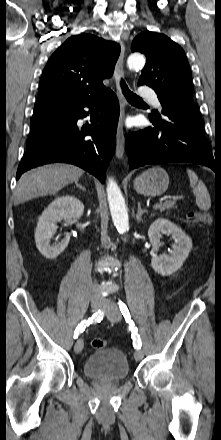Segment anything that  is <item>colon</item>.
<instances>
[{"label":"colon","mask_w":221,"mask_h":440,"mask_svg":"<svg viewBox=\"0 0 221 440\" xmlns=\"http://www.w3.org/2000/svg\"><path fill=\"white\" fill-rule=\"evenodd\" d=\"M187 219L191 223L206 222L208 215L193 211L187 214ZM91 345L94 349H103L107 346V342L102 338H95L91 341Z\"/></svg>","instance_id":"5ec220e1"}]
</instances>
